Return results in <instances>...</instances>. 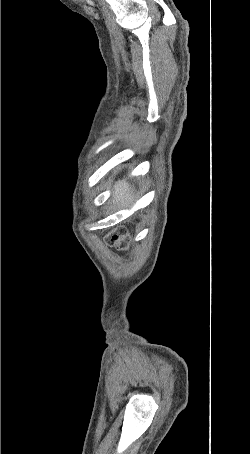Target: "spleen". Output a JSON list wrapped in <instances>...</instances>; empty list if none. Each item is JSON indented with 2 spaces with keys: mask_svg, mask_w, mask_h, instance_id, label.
Segmentation results:
<instances>
[{
  "mask_svg": "<svg viewBox=\"0 0 250 454\" xmlns=\"http://www.w3.org/2000/svg\"><path fill=\"white\" fill-rule=\"evenodd\" d=\"M134 197L132 196L131 188L125 182H120L117 185V189L113 195V202L118 204L120 208L133 203Z\"/></svg>",
  "mask_w": 250,
  "mask_h": 454,
  "instance_id": "3e777b00",
  "label": "spleen"
}]
</instances>
